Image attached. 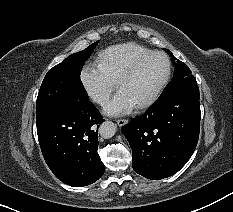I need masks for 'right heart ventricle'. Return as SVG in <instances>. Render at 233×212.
I'll return each mask as SVG.
<instances>
[{
	"mask_svg": "<svg viewBox=\"0 0 233 212\" xmlns=\"http://www.w3.org/2000/svg\"><path fill=\"white\" fill-rule=\"evenodd\" d=\"M150 51V49L137 43H122L101 51L97 61L106 75L116 83L137 58Z\"/></svg>",
	"mask_w": 233,
	"mask_h": 212,
	"instance_id": "1",
	"label": "right heart ventricle"
}]
</instances>
